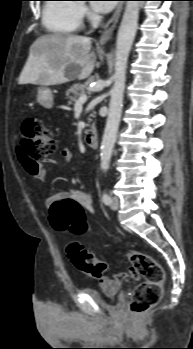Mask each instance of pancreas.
<instances>
[{
    "mask_svg": "<svg viewBox=\"0 0 193 349\" xmlns=\"http://www.w3.org/2000/svg\"><path fill=\"white\" fill-rule=\"evenodd\" d=\"M86 84H74L66 91V97L69 100L68 104L71 105L76 102L77 97L85 93Z\"/></svg>",
    "mask_w": 193,
    "mask_h": 349,
    "instance_id": "obj_1",
    "label": "pancreas"
}]
</instances>
